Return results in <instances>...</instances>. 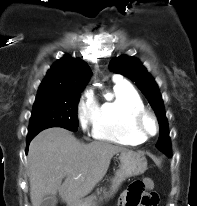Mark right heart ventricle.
I'll use <instances>...</instances> for the list:
<instances>
[{
    "label": "right heart ventricle",
    "mask_w": 197,
    "mask_h": 206,
    "mask_svg": "<svg viewBox=\"0 0 197 206\" xmlns=\"http://www.w3.org/2000/svg\"><path fill=\"white\" fill-rule=\"evenodd\" d=\"M144 109L139 93L130 84L117 81L113 87V97L98 105L93 137L120 145L142 144L146 139L135 132L132 116Z\"/></svg>",
    "instance_id": "e07e8e85"
}]
</instances>
